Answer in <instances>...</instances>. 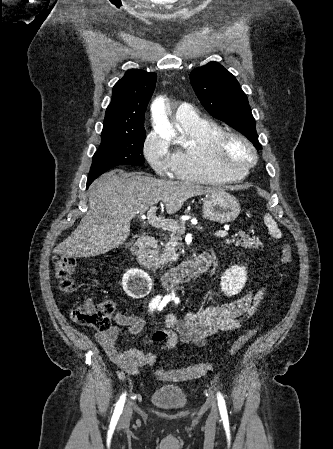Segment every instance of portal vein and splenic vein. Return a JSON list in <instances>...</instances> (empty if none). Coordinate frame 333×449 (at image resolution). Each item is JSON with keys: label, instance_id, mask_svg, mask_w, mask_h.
I'll return each instance as SVG.
<instances>
[{"label": "portal vein and splenic vein", "instance_id": "portal-vein-and-splenic-vein-1", "mask_svg": "<svg viewBox=\"0 0 333 449\" xmlns=\"http://www.w3.org/2000/svg\"><path fill=\"white\" fill-rule=\"evenodd\" d=\"M156 206H152L147 212V221L148 223L156 228H161L163 230H172L177 231L183 228V225L178 224L175 221L166 220L156 216ZM216 236L225 237L228 235L227 231H218L215 233Z\"/></svg>", "mask_w": 333, "mask_h": 449}]
</instances>
